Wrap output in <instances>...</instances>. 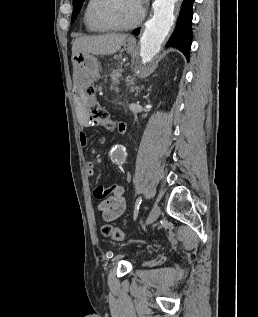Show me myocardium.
<instances>
[{
  "instance_id": "obj_1",
  "label": "myocardium",
  "mask_w": 258,
  "mask_h": 317,
  "mask_svg": "<svg viewBox=\"0 0 258 317\" xmlns=\"http://www.w3.org/2000/svg\"><path fill=\"white\" fill-rule=\"evenodd\" d=\"M113 1H121V0H96L95 1L94 5L92 7V10H91V18L94 21V23L103 29L116 31V32H129V31H133L134 29H136L141 24V22L145 16V10H144V7L141 4V2L139 0H128L136 5V7L138 9V18H137L136 22L131 27H118V26H115L113 24L105 22L98 15V10L102 5H104L108 2H113Z\"/></svg>"
}]
</instances>
